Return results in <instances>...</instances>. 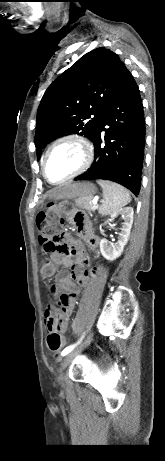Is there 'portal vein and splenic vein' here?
<instances>
[{"mask_svg":"<svg viewBox=\"0 0 165 461\" xmlns=\"http://www.w3.org/2000/svg\"><path fill=\"white\" fill-rule=\"evenodd\" d=\"M97 201H98V197H95V198L93 199V201H92V204H93L94 206H96V207L98 206V205H97Z\"/></svg>","mask_w":165,"mask_h":461,"instance_id":"portal-vein-and-splenic-vein-1","label":"portal vein and splenic vein"}]
</instances>
